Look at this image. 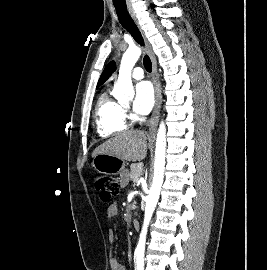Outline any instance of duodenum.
<instances>
[{
    "label": "duodenum",
    "instance_id": "duodenum-1",
    "mask_svg": "<svg viewBox=\"0 0 267 270\" xmlns=\"http://www.w3.org/2000/svg\"><path fill=\"white\" fill-rule=\"evenodd\" d=\"M132 225H133L134 229L138 230L139 227H140V222H139V220H138V219H133Z\"/></svg>",
    "mask_w": 267,
    "mask_h": 270
}]
</instances>
